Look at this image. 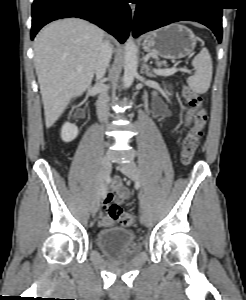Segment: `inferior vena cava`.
Listing matches in <instances>:
<instances>
[{
  "label": "inferior vena cava",
  "instance_id": "602c4592",
  "mask_svg": "<svg viewBox=\"0 0 246 300\" xmlns=\"http://www.w3.org/2000/svg\"><path fill=\"white\" fill-rule=\"evenodd\" d=\"M113 53V49L108 41H104L101 43L99 48V52L95 62V75H96V88L99 91V97L96 102L97 106V115L101 122H106L108 119V112H107V92L108 87L102 83V79L106 73V69L109 65Z\"/></svg>",
  "mask_w": 246,
  "mask_h": 300
}]
</instances>
